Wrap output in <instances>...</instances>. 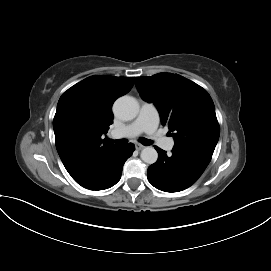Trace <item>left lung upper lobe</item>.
Masks as SVG:
<instances>
[{
    "label": "left lung upper lobe",
    "instance_id": "1",
    "mask_svg": "<svg viewBox=\"0 0 271 271\" xmlns=\"http://www.w3.org/2000/svg\"><path fill=\"white\" fill-rule=\"evenodd\" d=\"M144 101L157 107L163 125L173 136V148L194 150L212 156L220 135L214 103L205 89L172 73L136 77Z\"/></svg>",
    "mask_w": 271,
    "mask_h": 271
}]
</instances>
